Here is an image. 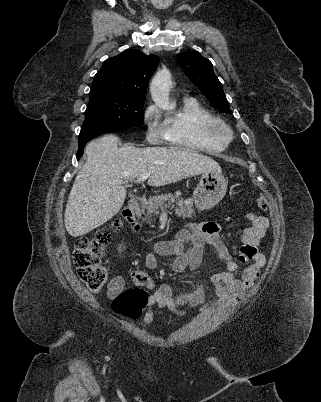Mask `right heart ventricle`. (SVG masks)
<instances>
[{
	"mask_svg": "<svg viewBox=\"0 0 321 402\" xmlns=\"http://www.w3.org/2000/svg\"><path fill=\"white\" fill-rule=\"evenodd\" d=\"M211 112L195 98H185L180 108L161 124L169 145L209 154L224 150L225 144L206 134L203 124L212 118Z\"/></svg>",
	"mask_w": 321,
	"mask_h": 402,
	"instance_id": "1",
	"label": "right heart ventricle"
}]
</instances>
